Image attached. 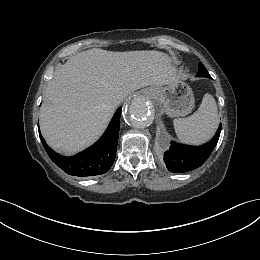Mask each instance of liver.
Wrapping results in <instances>:
<instances>
[{
  "label": "liver",
  "mask_w": 260,
  "mask_h": 260,
  "mask_svg": "<svg viewBox=\"0 0 260 260\" xmlns=\"http://www.w3.org/2000/svg\"><path fill=\"white\" fill-rule=\"evenodd\" d=\"M178 79L171 58L163 52L99 48L80 52L58 68L47 85L40 110L41 133L57 152L75 154L104 132L118 98Z\"/></svg>",
  "instance_id": "1"
}]
</instances>
